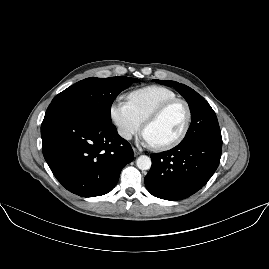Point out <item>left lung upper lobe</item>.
Returning <instances> with one entry per match:
<instances>
[{
  "instance_id": "left-lung-upper-lobe-1",
  "label": "left lung upper lobe",
  "mask_w": 269,
  "mask_h": 269,
  "mask_svg": "<svg viewBox=\"0 0 269 269\" xmlns=\"http://www.w3.org/2000/svg\"><path fill=\"white\" fill-rule=\"evenodd\" d=\"M157 83L174 87L188 102L191 111V124L182 143L202 137H220L221 132L214 110L208 102L190 87L169 80H155Z\"/></svg>"
}]
</instances>
